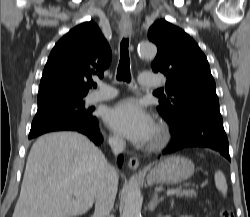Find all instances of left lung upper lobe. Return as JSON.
Here are the masks:
<instances>
[{"label": "left lung upper lobe", "mask_w": 250, "mask_h": 217, "mask_svg": "<svg viewBox=\"0 0 250 217\" xmlns=\"http://www.w3.org/2000/svg\"><path fill=\"white\" fill-rule=\"evenodd\" d=\"M148 38L158 47L152 69L167 77L169 99L160 100L158 107L166 121L178 120L190 108L219 104L207 58L188 34L166 20H159L150 27Z\"/></svg>", "instance_id": "obj_1"}]
</instances>
